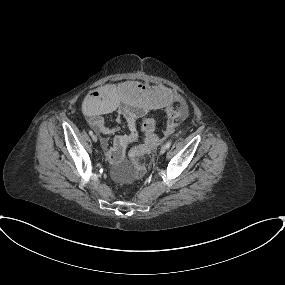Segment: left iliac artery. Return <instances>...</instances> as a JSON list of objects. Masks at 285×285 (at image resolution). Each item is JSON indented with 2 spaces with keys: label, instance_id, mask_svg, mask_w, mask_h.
Instances as JSON below:
<instances>
[{
  "label": "left iliac artery",
  "instance_id": "1",
  "mask_svg": "<svg viewBox=\"0 0 285 285\" xmlns=\"http://www.w3.org/2000/svg\"><path fill=\"white\" fill-rule=\"evenodd\" d=\"M171 144H172L171 141H168V142L166 143V147L169 148V147L171 146Z\"/></svg>",
  "mask_w": 285,
  "mask_h": 285
}]
</instances>
